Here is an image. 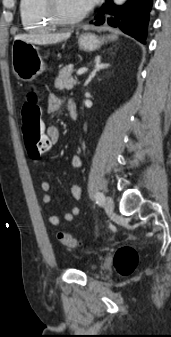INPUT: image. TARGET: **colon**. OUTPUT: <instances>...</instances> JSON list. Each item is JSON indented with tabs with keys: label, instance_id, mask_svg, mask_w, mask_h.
I'll use <instances>...</instances> for the list:
<instances>
[{
	"label": "colon",
	"instance_id": "obj_1",
	"mask_svg": "<svg viewBox=\"0 0 171 337\" xmlns=\"http://www.w3.org/2000/svg\"><path fill=\"white\" fill-rule=\"evenodd\" d=\"M43 104L42 100H38L36 93L31 91L27 94L21 108L25 149L32 160L39 159L52 146V141L47 139L43 133L44 127L41 126L40 107ZM57 239L68 248H77L80 245L78 240L65 232H58ZM137 263L138 253L129 245L121 246L114 255V266L124 276L130 275L135 270Z\"/></svg>",
	"mask_w": 171,
	"mask_h": 337
}]
</instances>
